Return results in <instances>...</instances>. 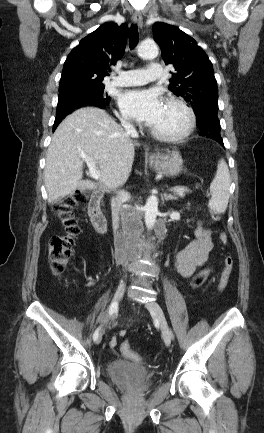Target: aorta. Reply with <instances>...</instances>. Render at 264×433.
<instances>
[{"label": "aorta", "instance_id": "aorta-1", "mask_svg": "<svg viewBox=\"0 0 264 433\" xmlns=\"http://www.w3.org/2000/svg\"><path fill=\"white\" fill-rule=\"evenodd\" d=\"M159 54L158 46L154 42H143L138 47V56L143 59H152ZM158 214V199L155 195L150 196L145 204V225L152 230L156 225Z\"/></svg>", "mask_w": 264, "mask_h": 433}]
</instances>
